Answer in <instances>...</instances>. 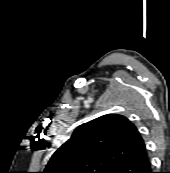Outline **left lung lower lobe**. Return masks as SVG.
<instances>
[{"label": "left lung lower lobe", "mask_w": 170, "mask_h": 173, "mask_svg": "<svg viewBox=\"0 0 170 173\" xmlns=\"http://www.w3.org/2000/svg\"><path fill=\"white\" fill-rule=\"evenodd\" d=\"M114 173H153L150 161L145 151L139 156H134L122 164Z\"/></svg>", "instance_id": "obj_1"}]
</instances>
